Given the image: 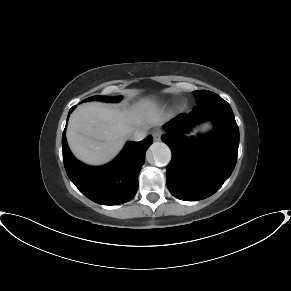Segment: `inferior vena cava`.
<instances>
[{
    "mask_svg": "<svg viewBox=\"0 0 291 291\" xmlns=\"http://www.w3.org/2000/svg\"><path fill=\"white\" fill-rule=\"evenodd\" d=\"M147 136V129H138L131 135V140L141 141Z\"/></svg>",
    "mask_w": 291,
    "mask_h": 291,
    "instance_id": "obj_1",
    "label": "inferior vena cava"
}]
</instances>
